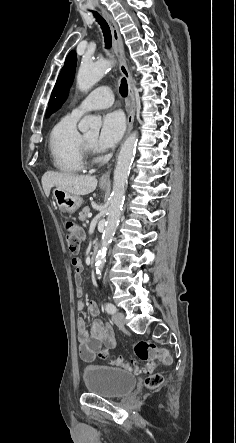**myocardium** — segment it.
Segmentation results:
<instances>
[{"mask_svg":"<svg viewBox=\"0 0 236 443\" xmlns=\"http://www.w3.org/2000/svg\"><path fill=\"white\" fill-rule=\"evenodd\" d=\"M82 148L84 152V156H89L93 153V143H90L85 139L84 136H82Z\"/></svg>","mask_w":236,"mask_h":443,"instance_id":"f54148a6","label":"myocardium"}]
</instances>
